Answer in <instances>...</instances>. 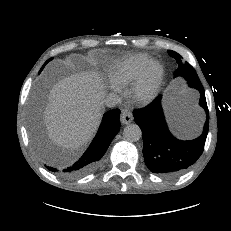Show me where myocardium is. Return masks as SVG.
<instances>
[{"mask_svg":"<svg viewBox=\"0 0 231 231\" xmlns=\"http://www.w3.org/2000/svg\"><path fill=\"white\" fill-rule=\"evenodd\" d=\"M164 68L158 62H151L132 86L130 95L138 104H149L158 95L162 86Z\"/></svg>","mask_w":231,"mask_h":231,"instance_id":"1","label":"myocardium"}]
</instances>
